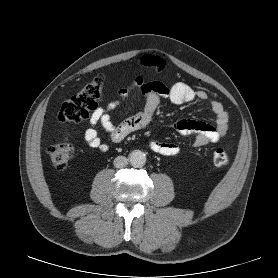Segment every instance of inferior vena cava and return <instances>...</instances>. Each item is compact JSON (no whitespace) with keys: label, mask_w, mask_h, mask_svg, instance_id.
<instances>
[{"label":"inferior vena cava","mask_w":278,"mask_h":278,"mask_svg":"<svg viewBox=\"0 0 278 278\" xmlns=\"http://www.w3.org/2000/svg\"><path fill=\"white\" fill-rule=\"evenodd\" d=\"M128 164V159L125 156H118L114 159V166L116 168H123Z\"/></svg>","instance_id":"602c4592"}]
</instances>
